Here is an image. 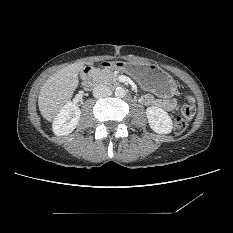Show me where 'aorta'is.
<instances>
[{"instance_id": "obj_1", "label": "aorta", "mask_w": 233, "mask_h": 233, "mask_svg": "<svg viewBox=\"0 0 233 233\" xmlns=\"http://www.w3.org/2000/svg\"><path fill=\"white\" fill-rule=\"evenodd\" d=\"M115 95H116L117 97L122 98V97H124V96L126 95V91H125V89L122 88V87H117V88L115 89Z\"/></svg>"}]
</instances>
